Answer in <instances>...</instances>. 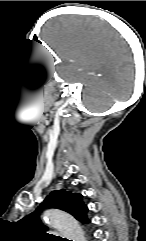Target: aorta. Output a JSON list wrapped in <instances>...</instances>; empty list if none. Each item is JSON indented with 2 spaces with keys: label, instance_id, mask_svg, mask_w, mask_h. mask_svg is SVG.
Returning <instances> with one entry per match:
<instances>
[{
  "label": "aorta",
  "instance_id": "obj_1",
  "mask_svg": "<svg viewBox=\"0 0 146 241\" xmlns=\"http://www.w3.org/2000/svg\"><path fill=\"white\" fill-rule=\"evenodd\" d=\"M44 220L58 229L62 235L72 241H86L79 223L68 213L60 209H48L43 214Z\"/></svg>",
  "mask_w": 146,
  "mask_h": 241
}]
</instances>
